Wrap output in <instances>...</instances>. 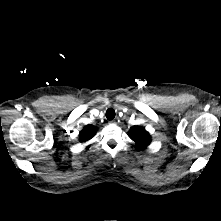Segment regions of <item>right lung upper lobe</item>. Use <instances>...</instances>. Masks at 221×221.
<instances>
[{
	"instance_id": "cb5924a9",
	"label": "right lung upper lobe",
	"mask_w": 221,
	"mask_h": 221,
	"mask_svg": "<svg viewBox=\"0 0 221 221\" xmlns=\"http://www.w3.org/2000/svg\"><path fill=\"white\" fill-rule=\"evenodd\" d=\"M97 128L91 125H87L79 134L80 141L85 142L91 139L96 133Z\"/></svg>"
}]
</instances>
